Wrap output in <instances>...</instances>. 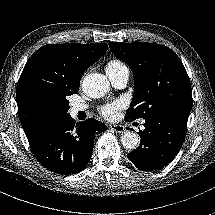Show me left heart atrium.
<instances>
[{
    "label": "left heart atrium",
    "instance_id": "obj_1",
    "mask_svg": "<svg viewBox=\"0 0 215 215\" xmlns=\"http://www.w3.org/2000/svg\"><path fill=\"white\" fill-rule=\"evenodd\" d=\"M124 108L122 100H116L112 103H107L99 108V113L107 120H113L118 116L121 109Z\"/></svg>",
    "mask_w": 215,
    "mask_h": 215
}]
</instances>
